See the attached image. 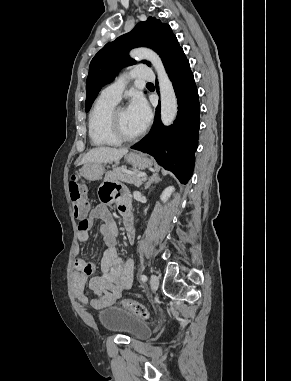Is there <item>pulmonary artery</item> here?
I'll return each instance as SVG.
<instances>
[{"label": "pulmonary artery", "instance_id": "1", "mask_svg": "<svg viewBox=\"0 0 291 381\" xmlns=\"http://www.w3.org/2000/svg\"><path fill=\"white\" fill-rule=\"evenodd\" d=\"M131 77H134L139 80H144V81H153L155 79L152 69L147 65H138L134 67V69L131 72ZM126 83H127V76L122 75L112 84L105 87L102 90L100 96L104 98L112 99L115 101H119L124 91V88L126 86Z\"/></svg>", "mask_w": 291, "mask_h": 381}]
</instances>
